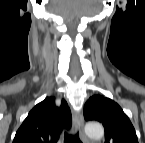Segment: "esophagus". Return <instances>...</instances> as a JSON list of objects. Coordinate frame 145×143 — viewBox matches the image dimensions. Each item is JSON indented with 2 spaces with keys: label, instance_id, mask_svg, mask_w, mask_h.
Here are the masks:
<instances>
[{
  "label": "esophagus",
  "instance_id": "obj_1",
  "mask_svg": "<svg viewBox=\"0 0 145 143\" xmlns=\"http://www.w3.org/2000/svg\"><path fill=\"white\" fill-rule=\"evenodd\" d=\"M73 125L75 129L79 132L80 138L82 139L83 143H88L87 138L83 132L84 119L81 113L73 114Z\"/></svg>",
  "mask_w": 145,
  "mask_h": 143
}]
</instances>
